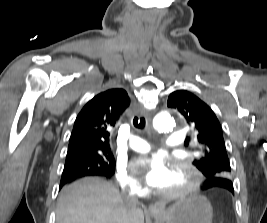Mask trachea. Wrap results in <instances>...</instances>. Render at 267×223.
Wrapping results in <instances>:
<instances>
[{
	"label": "trachea",
	"instance_id": "obj_1",
	"mask_svg": "<svg viewBox=\"0 0 267 223\" xmlns=\"http://www.w3.org/2000/svg\"><path fill=\"white\" fill-rule=\"evenodd\" d=\"M133 125L137 129H144L146 125V121L144 117L135 116L133 119Z\"/></svg>",
	"mask_w": 267,
	"mask_h": 223
}]
</instances>
